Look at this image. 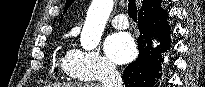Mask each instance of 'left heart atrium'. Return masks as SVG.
<instances>
[{
  "label": "left heart atrium",
  "instance_id": "left-heart-atrium-1",
  "mask_svg": "<svg viewBox=\"0 0 205 87\" xmlns=\"http://www.w3.org/2000/svg\"><path fill=\"white\" fill-rule=\"evenodd\" d=\"M107 56L117 64L131 61L136 54L133 38L128 33H116L107 38L104 45Z\"/></svg>",
  "mask_w": 205,
  "mask_h": 87
}]
</instances>
